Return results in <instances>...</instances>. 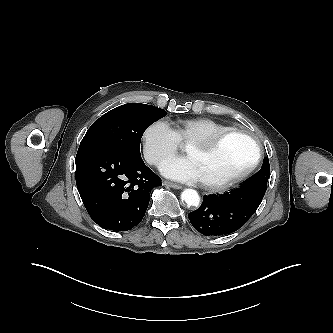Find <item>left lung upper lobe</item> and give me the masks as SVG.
Listing matches in <instances>:
<instances>
[{"label": "left lung upper lobe", "mask_w": 333, "mask_h": 333, "mask_svg": "<svg viewBox=\"0 0 333 333\" xmlns=\"http://www.w3.org/2000/svg\"><path fill=\"white\" fill-rule=\"evenodd\" d=\"M269 176H270L269 160L268 157H265L262 168L253 177H251L242 185L243 186L257 185V184L267 185Z\"/></svg>", "instance_id": "left-lung-upper-lobe-1"}]
</instances>
